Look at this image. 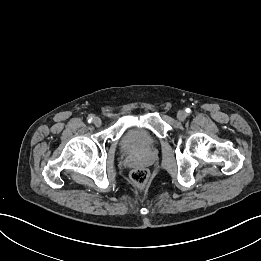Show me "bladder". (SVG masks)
<instances>
[{"label":"bladder","mask_w":261,"mask_h":261,"mask_svg":"<svg viewBox=\"0 0 261 261\" xmlns=\"http://www.w3.org/2000/svg\"><path fill=\"white\" fill-rule=\"evenodd\" d=\"M155 143V139L144 128L132 127L123 135L120 147L125 152H132L148 148Z\"/></svg>","instance_id":"obj_1"}]
</instances>
